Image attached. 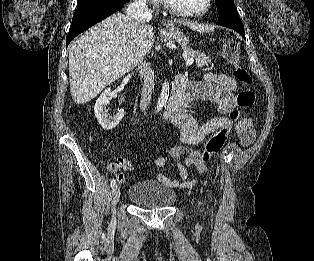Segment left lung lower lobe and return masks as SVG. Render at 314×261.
<instances>
[{
	"instance_id": "1",
	"label": "left lung lower lobe",
	"mask_w": 314,
	"mask_h": 261,
	"mask_svg": "<svg viewBox=\"0 0 314 261\" xmlns=\"http://www.w3.org/2000/svg\"><path fill=\"white\" fill-rule=\"evenodd\" d=\"M237 32H239L243 38H245V32L244 29L243 30H236Z\"/></svg>"
}]
</instances>
